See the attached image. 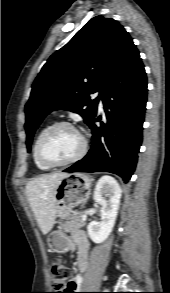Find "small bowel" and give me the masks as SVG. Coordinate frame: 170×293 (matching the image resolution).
<instances>
[{"label": "small bowel", "mask_w": 170, "mask_h": 293, "mask_svg": "<svg viewBox=\"0 0 170 293\" xmlns=\"http://www.w3.org/2000/svg\"><path fill=\"white\" fill-rule=\"evenodd\" d=\"M69 249H77V269L79 272H85L88 266L89 242L83 232H75L70 235Z\"/></svg>", "instance_id": "1"}]
</instances>
